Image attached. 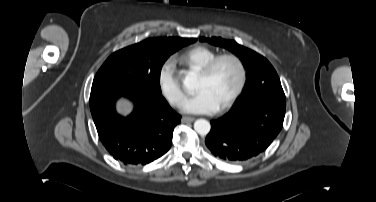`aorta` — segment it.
<instances>
[{
  "mask_svg": "<svg viewBox=\"0 0 376 202\" xmlns=\"http://www.w3.org/2000/svg\"><path fill=\"white\" fill-rule=\"evenodd\" d=\"M193 78H194L193 75L189 73L185 77L184 85L188 87L191 84ZM210 128H211V125L209 121L205 119H198L194 123V130L201 136L207 135L210 131Z\"/></svg>",
  "mask_w": 376,
  "mask_h": 202,
  "instance_id": "762f6f07",
  "label": "aorta"
}]
</instances>
